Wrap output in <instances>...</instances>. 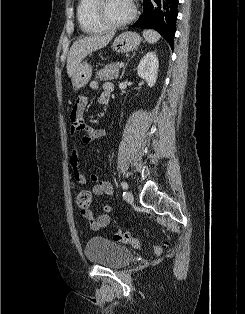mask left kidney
<instances>
[{
	"label": "left kidney",
	"instance_id": "left-kidney-1",
	"mask_svg": "<svg viewBox=\"0 0 245 314\" xmlns=\"http://www.w3.org/2000/svg\"><path fill=\"white\" fill-rule=\"evenodd\" d=\"M159 61L154 51L146 53L137 67V74L146 80L149 87H153L157 80Z\"/></svg>",
	"mask_w": 245,
	"mask_h": 314
}]
</instances>
